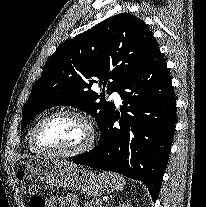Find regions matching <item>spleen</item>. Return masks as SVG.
<instances>
[{
  "mask_svg": "<svg viewBox=\"0 0 206 207\" xmlns=\"http://www.w3.org/2000/svg\"><path fill=\"white\" fill-rule=\"evenodd\" d=\"M99 175L101 177L109 179L111 181V185L114 190H121L125 185V179L118 174L101 172Z\"/></svg>",
  "mask_w": 206,
  "mask_h": 207,
  "instance_id": "spleen-1",
  "label": "spleen"
}]
</instances>
